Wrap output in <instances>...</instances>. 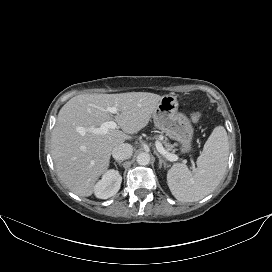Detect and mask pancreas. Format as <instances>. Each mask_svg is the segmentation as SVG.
Instances as JSON below:
<instances>
[{
	"label": "pancreas",
	"instance_id": "cf45deb5",
	"mask_svg": "<svg viewBox=\"0 0 272 272\" xmlns=\"http://www.w3.org/2000/svg\"><path fill=\"white\" fill-rule=\"evenodd\" d=\"M159 139L161 140L162 144L165 146V149L168 152L174 153L176 151V149L174 148V145L170 144L166 137L161 136Z\"/></svg>",
	"mask_w": 272,
	"mask_h": 272
}]
</instances>
